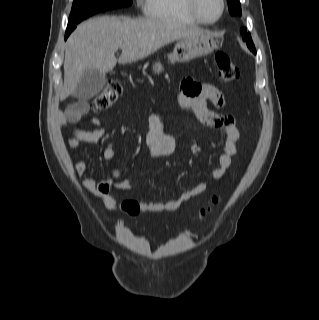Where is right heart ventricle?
Wrapping results in <instances>:
<instances>
[{
  "label": "right heart ventricle",
  "instance_id": "1",
  "mask_svg": "<svg viewBox=\"0 0 319 320\" xmlns=\"http://www.w3.org/2000/svg\"><path fill=\"white\" fill-rule=\"evenodd\" d=\"M148 17L162 22L196 26L199 23L190 15L186 0H146Z\"/></svg>",
  "mask_w": 319,
  "mask_h": 320
}]
</instances>
